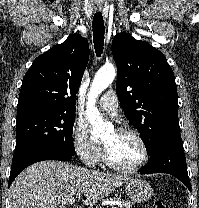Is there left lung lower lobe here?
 I'll return each mask as SVG.
<instances>
[{"mask_svg": "<svg viewBox=\"0 0 199 208\" xmlns=\"http://www.w3.org/2000/svg\"><path fill=\"white\" fill-rule=\"evenodd\" d=\"M149 155L150 160L148 164L140 169V173L171 174L183 182L191 191L180 132L170 134L161 139Z\"/></svg>", "mask_w": 199, "mask_h": 208, "instance_id": "obj_1", "label": "left lung lower lobe"}]
</instances>
